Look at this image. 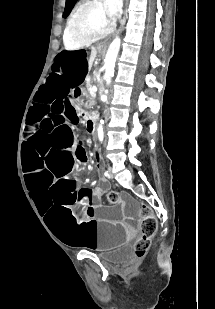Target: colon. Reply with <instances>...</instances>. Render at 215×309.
<instances>
[{
	"label": "colon",
	"instance_id": "1",
	"mask_svg": "<svg viewBox=\"0 0 215 309\" xmlns=\"http://www.w3.org/2000/svg\"><path fill=\"white\" fill-rule=\"evenodd\" d=\"M107 198L110 205H115L118 202V194L114 191L109 192ZM140 215L142 218L141 230L143 235L135 241L133 246L134 254L137 256L144 255L147 252L150 245V239L156 232L157 228L156 219L152 215L149 207L142 209Z\"/></svg>",
	"mask_w": 215,
	"mask_h": 309
}]
</instances>
